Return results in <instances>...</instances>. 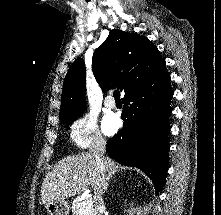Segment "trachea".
I'll return each mask as SVG.
<instances>
[{
    "mask_svg": "<svg viewBox=\"0 0 221 215\" xmlns=\"http://www.w3.org/2000/svg\"><path fill=\"white\" fill-rule=\"evenodd\" d=\"M115 100H120V92L119 90H115L113 93Z\"/></svg>",
    "mask_w": 221,
    "mask_h": 215,
    "instance_id": "1",
    "label": "trachea"
}]
</instances>
